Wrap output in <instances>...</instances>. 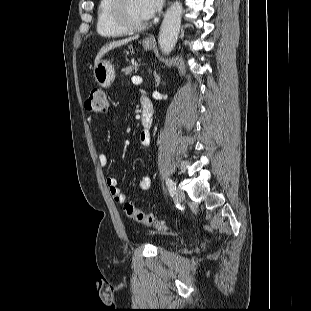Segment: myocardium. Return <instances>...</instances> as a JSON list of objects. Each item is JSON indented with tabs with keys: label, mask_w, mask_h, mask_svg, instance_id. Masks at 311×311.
<instances>
[{
	"label": "myocardium",
	"mask_w": 311,
	"mask_h": 311,
	"mask_svg": "<svg viewBox=\"0 0 311 311\" xmlns=\"http://www.w3.org/2000/svg\"><path fill=\"white\" fill-rule=\"evenodd\" d=\"M127 0H111L110 14L113 20L126 32H138L147 28L149 22L135 24L129 21L126 14Z\"/></svg>",
	"instance_id": "myocardium-1"
}]
</instances>
